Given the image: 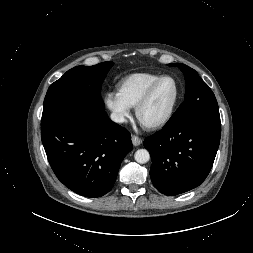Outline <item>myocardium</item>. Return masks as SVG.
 I'll use <instances>...</instances> for the list:
<instances>
[{"mask_svg":"<svg viewBox=\"0 0 253 253\" xmlns=\"http://www.w3.org/2000/svg\"><path fill=\"white\" fill-rule=\"evenodd\" d=\"M167 78L172 79L175 82V85H176V95H175V98H174L167 114L161 120H159V121H157L153 124H148V125L143 124L140 121V114H141L142 110L148 104V102L152 98L155 90L160 85V83L163 80L167 79ZM180 97H181V87H180V83L177 80V78H175L172 75H162L146 90L144 95L141 97V99L136 104V106H135V117L144 129H146L148 131L159 130V129L163 128L164 126H166L170 122V120L172 119V117L175 113V110L177 108V105L179 103Z\"/></svg>","mask_w":253,"mask_h":253,"instance_id":"1","label":"myocardium"}]
</instances>
